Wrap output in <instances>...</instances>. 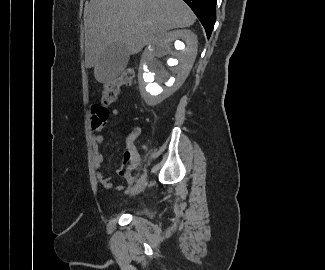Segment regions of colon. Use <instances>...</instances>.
<instances>
[{
    "mask_svg": "<svg viewBox=\"0 0 325 270\" xmlns=\"http://www.w3.org/2000/svg\"><path fill=\"white\" fill-rule=\"evenodd\" d=\"M134 77L135 69L129 67L115 79L105 82L102 93L103 104L109 105L115 102L119 97L121 88L130 85Z\"/></svg>",
    "mask_w": 325,
    "mask_h": 270,
    "instance_id": "obj_1",
    "label": "colon"
}]
</instances>
